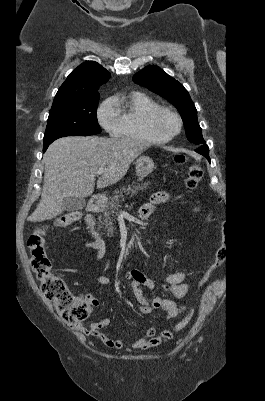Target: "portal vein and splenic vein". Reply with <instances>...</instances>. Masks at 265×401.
I'll list each match as a JSON object with an SVG mask.
<instances>
[{
  "mask_svg": "<svg viewBox=\"0 0 265 401\" xmlns=\"http://www.w3.org/2000/svg\"><path fill=\"white\" fill-rule=\"evenodd\" d=\"M105 168H99V170H97V174H103Z\"/></svg>",
  "mask_w": 265,
  "mask_h": 401,
  "instance_id": "obj_1",
  "label": "portal vein and splenic vein"
}]
</instances>
